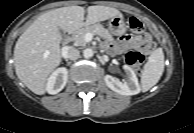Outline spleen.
<instances>
[{"instance_id":"obj_1","label":"spleen","mask_w":194,"mask_h":133,"mask_svg":"<svg viewBox=\"0 0 194 133\" xmlns=\"http://www.w3.org/2000/svg\"><path fill=\"white\" fill-rule=\"evenodd\" d=\"M164 71V53L157 48L148 58L141 75V90L148 91L158 83Z\"/></svg>"}]
</instances>
